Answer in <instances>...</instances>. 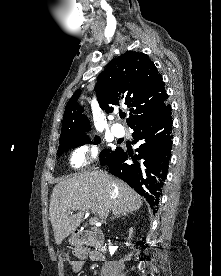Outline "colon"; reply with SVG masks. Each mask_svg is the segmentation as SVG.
<instances>
[{
  "instance_id": "1",
  "label": "colon",
  "mask_w": 221,
  "mask_h": 276,
  "mask_svg": "<svg viewBox=\"0 0 221 276\" xmlns=\"http://www.w3.org/2000/svg\"><path fill=\"white\" fill-rule=\"evenodd\" d=\"M60 260L63 262L70 263L72 261L71 254L69 252H62L59 256Z\"/></svg>"
}]
</instances>
